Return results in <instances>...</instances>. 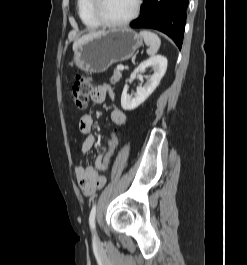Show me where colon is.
Listing matches in <instances>:
<instances>
[{"label": "colon", "instance_id": "colon-1", "mask_svg": "<svg viewBox=\"0 0 247 265\" xmlns=\"http://www.w3.org/2000/svg\"><path fill=\"white\" fill-rule=\"evenodd\" d=\"M92 81L89 77L77 74L75 76L73 85H72V92L71 98L75 103L78 109L86 108L89 98L92 94ZM119 138L116 132L113 130L111 132V138L109 141V147L102 158V166L101 172H106L110 166L111 159L118 147Z\"/></svg>", "mask_w": 247, "mask_h": 265}]
</instances>
